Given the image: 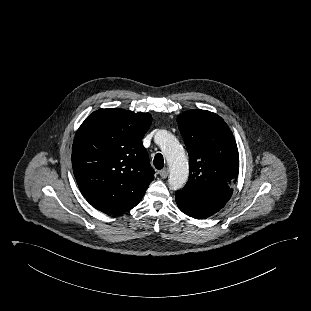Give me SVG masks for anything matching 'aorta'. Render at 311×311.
Masks as SVG:
<instances>
[{"label": "aorta", "mask_w": 311, "mask_h": 311, "mask_svg": "<svg viewBox=\"0 0 311 311\" xmlns=\"http://www.w3.org/2000/svg\"><path fill=\"white\" fill-rule=\"evenodd\" d=\"M155 142L160 146L169 165V186L173 190L181 189L188 180L189 167L185 151L177 138L166 130L155 135Z\"/></svg>", "instance_id": "obj_1"}]
</instances>
